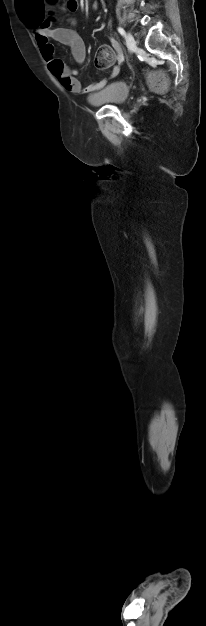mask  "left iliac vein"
Wrapping results in <instances>:
<instances>
[{
  "label": "left iliac vein",
  "mask_w": 206,
  "mask_h": 626,
  "mask_svg": "<svg viewBox=\"0 0 206 626\" xmlns=\"http://www.w3.org/2000/svg\"><path fill=\"white\" fill-rule=\"evenodd\" d=\"M126 43L130 52H134L136 49V42L131 33L126 34Z\"/></svg>",
  "instance_id": "1"
}]
</instances>
